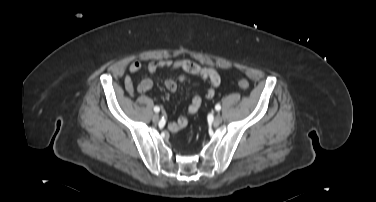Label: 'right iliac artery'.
I'll return each instance as SVG.
<instances>
[{"instance_id":"1","label":"right iliac artery","mask_w":376,"mask_h":202,"mask_svg":"<svg viewBox=\"0 0 376 202\" xmlns=\"http://www.w3.org/2000/svg\"><path fill=\"white\" fill-rule=\"evenodd\" d=\"M154 111H155L156 113H158V112L160 111V108H159L158 106H155V107H154Z\"/></svg>"}]
</instances>
